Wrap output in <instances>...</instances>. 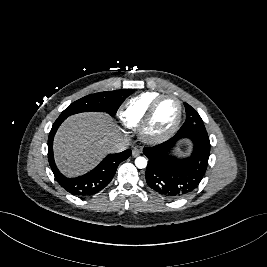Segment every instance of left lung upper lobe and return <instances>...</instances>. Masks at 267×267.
<instances>
[{
	"label": "left lung upper lobe",
	"instance_id": "5c2ea615",
	"mask_svg": "<svg viewBox=\"0 0 267 267\" xmlns=\"http://www.w3.org/2000/svg\"><path fill=\"white\" fill-rule=\"evenodd\" d=\"M185 110H186V120L182 127L179 129V131L176 133V135H181L189 132H203L207 133L204 123L200 117V115L197 113V111L192 108L187 103H184Z\"/></svg>",
	"mask_w": 267,
	"mask_h": 267
}]
</instances>
